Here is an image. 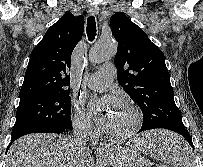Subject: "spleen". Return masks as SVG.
<instances>
[{
  "label": "spleen",
  "instance_id": "1",
  "mask_svg": "<svg viewBox=\"0 0 203 167\" xmlns=\"http://www.w3.org/2000/svg\"><path fill=\"white\" fill-rule=\"evenodd\" d=\"M142 151L174 167H195L189 146L180 136L169 132L155 131L149 134Z\"/></svg>",
  "mask_w": 203,
  "mask_h": 167
}]
</instances>
